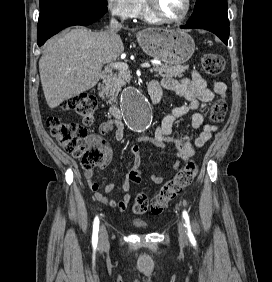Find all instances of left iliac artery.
I'll return each mask as SVG.
<instances>
[{"label": "left iliac artery", "mask_w": 272, "mask_h": 282, "mask_svg": "<svg viewBox=\"0 0 272 282\" xmlns=\"http://www.w3.org/2000/svg\"><path fill=\"white\" fill-rule=\"evenodd\" d=\"M182 215H183V218L185 220V227L187 228L190 241L194 244L196 241H195L193 233L191 232L190 221H189V216H188L187 211L184 210Z\"/></svg>", "instance_id": "1"}]
</instances>
